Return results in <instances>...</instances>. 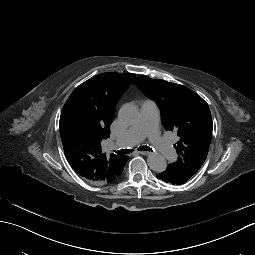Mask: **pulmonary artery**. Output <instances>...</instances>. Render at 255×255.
<instances>
[{
    "label": "pulmonary artery",
    "mask_w": 255,
    "mask_h": 255,
    "mask_svg": "<svg viewBox=\"0 0 255 255\" xmlns=\"http://www.w3.org/2000/svg\"><path fill=\"white\" fill-rule=\"evenodd\" d=\"M157 116L158 108L155 101H143L141 105V118L137 125L128 129L124 135L112 142L111 149L131 148L140 143L145 137H149L158 152L163 153L169 162H176L178 156L174 151V145L167 143L166 139L161 137L158 132L160 123L156 120Z\"/></svg>",
    "instance_id": "1"
}]
</instances>
